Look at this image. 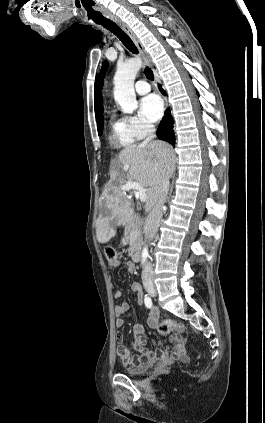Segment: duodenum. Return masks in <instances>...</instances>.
Here are the masks:
<instances>
[{
  "label": "duodenum",
  "mask_w": 265,
  "mask_h": 423,
  "mask_svg": "<svg viewBox=\"0 0 265 423\" xmlns=\"http://www.w3.org/2000/svg\"><path fill=\"white\" fill-rule=\"evenodd\" d=\"M130 253L133 261L138 263L141 259L140 248L137 240L132 239L130 242Z\"/></svg>",
  "instance_id": "410a0bca"
}]
</instances>
